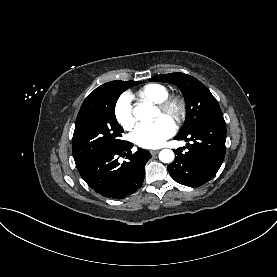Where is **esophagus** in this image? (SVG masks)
Segmentation results:
<instances>
[{
  "label": "esophagus",
  "instance_id": "esophagus-1",
  "mask_svg": "<svg viewBox=\"0 0 277 277\" xmlns=\"http://www.w3.org/2000/svg\"><path fill=\"white\" fill-rule=\"evenodd\" d=\"M159 152V150H150L151 155H155Z\"/></svg>",
  "mask_w": 277,
  "mask_h": 277
}]
</instances>
